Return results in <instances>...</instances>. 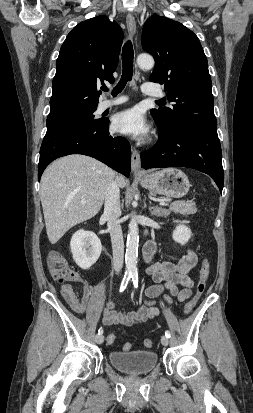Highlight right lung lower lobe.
<instances>
[{
    "mask_svg": "<svg viewBox=\"0 0 253 413\" xmlns=\"http://www.w3.org/2000/svg\"><path fill=\"white\" fill-rule=\"evenodd\" d=\"M109 121L89 128H71L46 133L38 164V180L44 169L53 160L70 154L91 156L117 172L129 177L131 149L123 137H112L108 131Z\"/></svg>",
    "mask_w": 253,
    "mask_h": 413,
    "instance_id": "1",
    "label": "right lung lower lobe"
}]
</instances>
